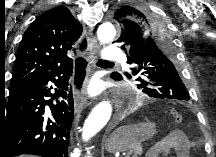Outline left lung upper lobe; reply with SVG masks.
I'll return each instance as SVG.
<instances>
[{"label":"left lung upper lobe","mask_w":216,"mask_h":157,"mask_svg":"<svg viewBox=\"0 0 216 157\" xmlns=\"http://www.w3.org/2000/svg\"><path fill=\"white\" fill-rule=\"evenodd\" d=\"M114 19L121 29L118 42L124 43L122 49L127 63L131 65L133 75H138V88L156 99L190 100L179 75L180 64H177L171 43L172 35L168 27H164L163 19L153 15V10L136 5L120 6Z\"/></svg>","instance_id":"5c2ea615"}]
</instances>
